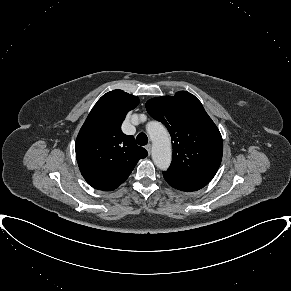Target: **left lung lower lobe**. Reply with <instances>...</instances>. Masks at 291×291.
Instances as JSON below:
<instances>
[{"instance_id":"obj_1","label":"left lung lower lobe","mask_w":291,"mask_h":291,"mask_svg":"<svg viewBox=\"0 0 291 291\" xmlns=\"http://www.w3.org/2000/svg\"><path fill=\"white\" fill-rule=\"evenodd\" d=\"M163 176L166 182L170 186L181 191H188V192L197 191L209 183L205 181L194 180V179L182 177L179 175H175L168 171H164Z\"/></svg>"}]
</instances>
